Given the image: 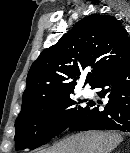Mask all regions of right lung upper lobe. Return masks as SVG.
Returning <instances> with one entry per match:
<instances>
[{"label":"right lung upper lobe","instance_id":"right-lung-upper-lobe-1","mask_svg":"<svg viewBox=\"0 0 130 153\" xmlns=\"http://www.w3.org/2000/svg\"><path fill=\"white\" fill-rule=\"evenodd\" d=\"M130 60V39L110 15L91 14L66 33L57 44L43 50L29 70L19 114L74 93L86 70L85 84L98 80Z\"/></svg>","mask_w":130,"mask_h":153}]
</instances>
